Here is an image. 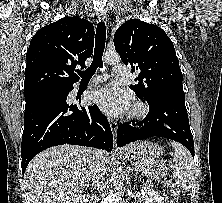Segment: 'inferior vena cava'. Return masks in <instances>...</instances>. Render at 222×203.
<instances>
[{"mask_svg":"<svg viewBox=\"0 0 222 203\" xmlns=\"http://www.w3.org/2000/svg\"><path fill=\"white\" fill-rule=\"evenodd\" d=\"M97 151L94 150V154H96ZM90 171H91V177H92V185L96 188V186L99 184L100 179L104 176L105 169L104 165L99 161L97 154L93 157V161L90 165Z\"/></svg>","mask_w":222,"mask_h":203,"instance_id":"obj_1","label":"inferior vena cava"}]
</instances>
